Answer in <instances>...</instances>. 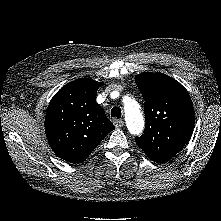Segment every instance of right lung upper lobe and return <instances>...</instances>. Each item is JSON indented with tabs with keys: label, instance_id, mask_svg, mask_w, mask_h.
Segmentation results:
<instances>
[{
	"label": "right lung upper lobe",
	"instance_id": "1",
	"mask_svg": "<svg viewBox=\"0 0 221 221\" xmlns=\"http://www.w3.org/2000/svg\"><path fill=\"white\" fill-rule=\"evenodd\" d=\"M103 82L82 78L62 87L46 111L45 132L50 147L65 161L81 163L115 129L96 102Z\"/></svg>",
	"mask_w": 221,
	"mask_h": 221
}]
</instances>
